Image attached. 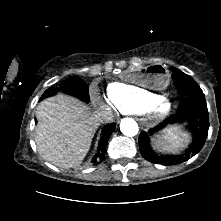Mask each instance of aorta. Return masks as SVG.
<instances>
[{"mask_svg":"<svg viewBox=\"0 0 221 221\" xmlns=\"http://www.w3.org/2000/svg\"><path fill=\"white\" fill-rule=\"evenodd\" d=\"M120 130L125 136L133 137L138 134L139 127L134 119L124 118L121 120Z\"/></svg>","mask_w":221,"mask_h":221,"instance_id":"762f6f07","label":"aorta"}]
</instances>
